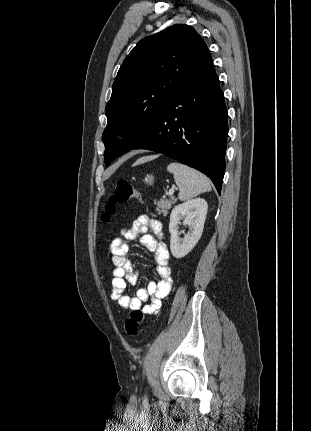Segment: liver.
Instances as JSON below:
<instances>
[{"instance_id":"6515ba94","label":"liver","mask_w":311,"mask_h":431,"mask_svg":"<svg viewBox=\"0 0 311 431\" xmlns=\"http://www.w3.org/2000/svg\"><path fill=\"white\" fill-rule=\"evenodd\" d=\"M148 160V156H145V158H139V160H136V162H134L133 166H139V164H144V162H148Z\"/></svg>"}]
</instances>
